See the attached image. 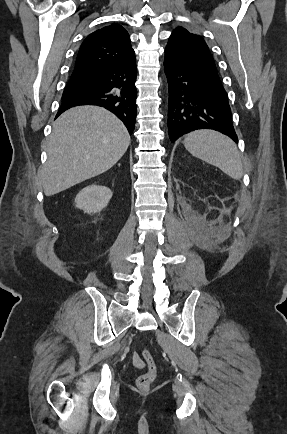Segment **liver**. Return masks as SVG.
Segmentation results:
<instances>
[{"label": "liver", "instance_id": "obj_1", "mask_svg": "<svg viewBox=\"0 0 287 434\" xmlns=\"http://www.w3.org/2000/svg\"><path fill=\"white\" fill-rule=\"evenodd\" d=\"M129 144L126 127L108 110L87 105L65 111L49 137L41 173L44 194L55 195L108 171Z\"/></svg>", "mask_w": 287, "mask_h": 434}]
</instances>
